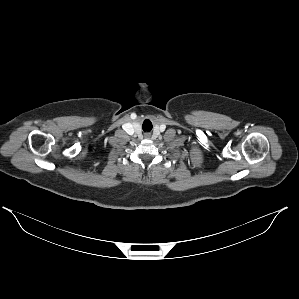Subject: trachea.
<instances>
[{
	"label": "trachea",
	"mask_w": 299,
	"mask_h": 299,
	"mask_svg": "<svg viewBox=\"0 0 299 299\" xmlns=\"http://www.w3.org/2000/svg\"><path fill=\"white\" fill-rule=\"evenodd\" d=\"M144 131H151L152 130V123L150 120H145L142 126Z\"/></svg>",
	"instance_id": "3493384b"
}]
</instances>
